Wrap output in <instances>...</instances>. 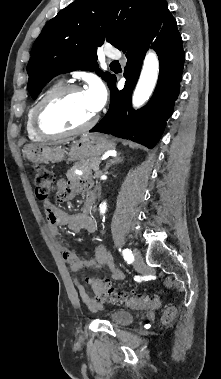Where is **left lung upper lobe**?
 I'll return each instance as SVG.
<instances>
[{
    "mask_svg": "<svg viewBox=\"0 0 221 379\" xmlns=\"http://www.w3.org/2000/svg\"><path fill=\"white\" fill-rule=\"evenodd\" d=\"M164 0H75L43 28L27 66L28 90L36 99L54 76L74 70L96 71L110 85L116 78L98 69L97 47L119 50L137 35Z\"/></svg>",
    "mask_w": 221,
    "mask_h": 379,
    "instance_id": "1",
    "label": "left lung upper lobe"
}]
</instances>
